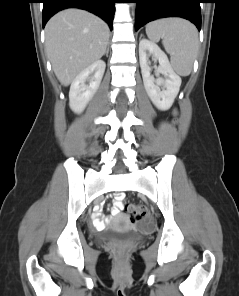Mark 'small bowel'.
<instances>
[{"instance_id": "obj_1", "label": "small bowel", "mask_w": 239, "mask_h": 296, "mask_svg": "<svg viewBox=\"0 0 239 296\" xmlns=\"http://www.w3.org/2000/svg\"><path fill=\"white\" fill-rule=\"evenodd\" d=\"M122 197H118L116 202L112 205V207L110 208V213L113 216H116L117 214H119V210H120V200Z\"/></svg>"}]
</instances>
